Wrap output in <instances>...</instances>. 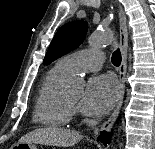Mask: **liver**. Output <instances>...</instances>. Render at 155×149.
Instances as JSON below:
<instances>
[{"mask_svg": "<svg viewBox=\"0 0 155 149\" xmlns=\"http://www.w3.org/2000/svg\"><path fill=\"white\" fill-rule=\"evenodd\" d=\"M82 137L77 131L58 127H45L27 133L21 137L19 142L70 147L78 143Z\"/></svg>", "mask_w": 155, "mask_h": 149, "instance_id": "obj_1", "label": "liver"}]
</instances>
